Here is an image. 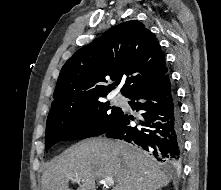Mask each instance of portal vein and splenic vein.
Returning a JSON list of instances; mask_svg holds the SVG:
<instances>
[{"label": "portal vein and splenic vein", "mask_w": 221, "mask_h": 190, "mask_svg": "<svg viewBox=\"0 0 221 190\" xmlns=\"http://www.w3.org/2000/svg\"><path fill=\"white\" fill-rule=\"evenodd\" d=\"M72 181L79 183V182L81 181V179H80L79 177H75V178L72 179ZM114 183H115V182H114V179L111 178V177H107V178L104 179V184H105V185L113 186Z\"/></svg>", "instance_id": "obj_1"}]
</instances>
